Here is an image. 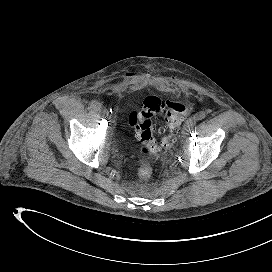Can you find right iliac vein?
Returning <instances> with one entry per match:
<instances>
[{
	"label": "right iliac vein",
	"instance_id": "right-iliac-vein-1",
	"mask_svg": "<svg viewBox=\"0 0 272 272\" xmlns=\"http://www.w3.org/2000/svg\"><path fill=\"white\" fill-rule=\"evenodd\" d=\"M98 111L101 115L108 117V111L105 108H103L102 106H101L100 110H98Z\"/></svg>",
	"mask_w": 272,
	"mask_h": 272
}]
</instances>
